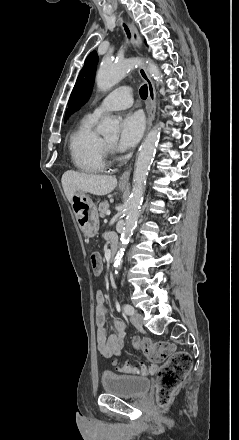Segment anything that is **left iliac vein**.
Instances as JSON below:
<instances>
[{"instance_id": "obj_1", "label": "left iliac vein", "mask_w": 239, "mask_h": 440, "mask_svg": "<svg viewBox=\"0 0 239 440\" xmlns=\"http://www.w3.org/2000/svg\"><path fill=\"white\" fill-rule=\"evenodd\" d=\"M131 323L136 327V328H142L143 326V317L141 314L139 313H135L132 314L130 317Z\"/></svg>"}]
</instances>
